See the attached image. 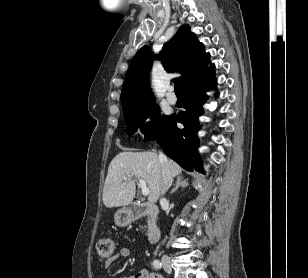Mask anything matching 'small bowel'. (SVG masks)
Instances as JSON below:
<instances>
[{
  "mask_svg": "<svg viewBox=\"0 0 308 278\" xmlns=\"http://www.w3.org/2000/svg\"><path fill=\"white\" fill-rule=\"evenodd\" d=\"M133 255L132 251L128 248H121L118 252L114 253L106 262L105 267H109L112 263L119 259H127ZM123 278H162L160 275L151 272L147 269H140L130 272Z\"/></svg>",
  "mask_w": 308,
  "mask_h": 278,
  "instance_id": "obj_1",
  "label": "small bowel"
}]
</instances>
